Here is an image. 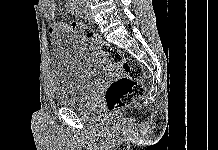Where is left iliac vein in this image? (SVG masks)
Instances as JSON below:
<instances>
[{
    "label": "left iliac vein",
    "instance_id": "1",
    "mask_svg": "<svg viewBox=\"0 0 218 150\" xmlns=\"http://www.w3.org/2000/svg\"><path fill=\"white\" fill-rule=\"evenodd\" d=\"M84 13H85V16H86L87 19L92 20L91 13H90L89 8H88L87 5L84 8Z\"/></svg>",
    "mask_w": 218,
    "mask_h": 150
}]
</instances>
